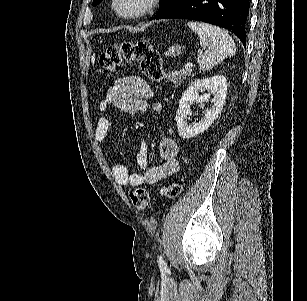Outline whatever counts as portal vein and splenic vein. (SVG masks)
Masks as SVG:
<instances>
[{"label": "portal vein and splenic vein", "mask_w": 307, "mask_h": 301, "mask_svg": "<svg viewBox=\"0 0 307 301\" xmlns=\"http://www.w3.org/2000/svg\"><path fill=\"white\" fill-rule=\"evenodd\" d=\"M192 66H193V62H187V64H185L184 68H185V70H187V72H192Z\"/></svg>", "instance_id": "obj_1"}]
</instances>
